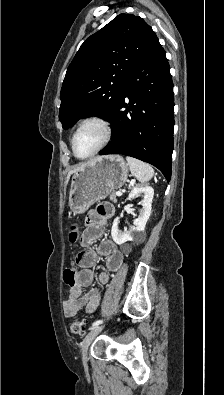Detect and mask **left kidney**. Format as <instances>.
<instances>
[{
    "mask_svg": "<svg viewBox=\"0 0 224 395\" xmlns=\"http://www.w3.org/2000/svg\"><path fill=\"white\" fill-rule=\"evenodd\" d=\"M140 194L143 195L142 211L138 218L134 220V226H132L128 231L122 232L118 229L119 217H117L113 222L111 235L114 242L118 245L124 244L125 242L138 237L145 229L146 223L151 214L154 189L151 186H136L131 190L128 199H134Z\"/></svg>",
    "mask_w": 224,
    "mask_h": 395,
    "instance_id": "obj_1",
    "label": "left kidney"
}]
</instances>
